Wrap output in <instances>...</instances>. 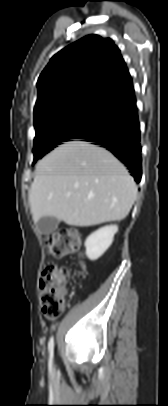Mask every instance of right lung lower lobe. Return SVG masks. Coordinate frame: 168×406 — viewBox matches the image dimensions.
<instances>
[{"instance_id": "1", "label": "right lung lower lobe", "mask_w": 168, "mask_h": 406, "mask_svg": "<svg viewBox=\"0 0 168 406\" xmlns=\"http://www.w3.org/2000/svg\"><path fill=\"white\" fill-rule=\"evenodd\" d=\"M106 117L78 139L109 150L124 163L134 179L141 180L140 127L133 86L106 100Z\"/></svg>"}]
</instances>
